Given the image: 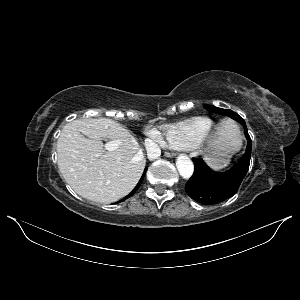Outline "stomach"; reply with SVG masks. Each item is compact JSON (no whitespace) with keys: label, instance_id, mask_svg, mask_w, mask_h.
<instances>
[{"label":"stomach","instance_id":"0dacf381","mask_svg":"<svg viewBox=\"0 0 300 300\" xmlns=\"http://www.w3.org/2000/svg\"><path fill=\"white\" fill-rule=\"evenodd\" d=\"M222 126L227 127L230 130V133L234 137V142L232 145H229L227 147H212L209 153L207 154L206 160L213 168L217 169L226 166L230 161L231 154L237 151L241 145L239 137H235L231 129L227 125L223 124Z\"/></svg>","mask_w":300,"mask_h":300}]
</instances>
